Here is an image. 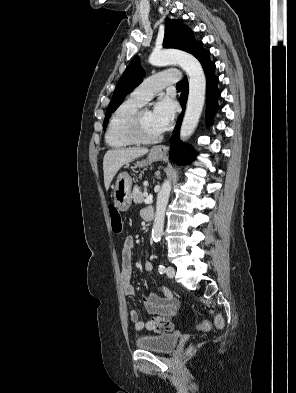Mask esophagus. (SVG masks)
Listing matches in <instances>:
<instances>
[{"instance_id": "esophagus-1", "label": "esophagus", "mask_w": 296, "mask_h": 393, "mask_svg": "<svg viewBox=\"0 0 296 393\" xmlns=\"http://www.w3.org/2000/svg\"><path fill=\"white\" fill-rule=\"evenodd\" d=\"M152 151L157 154L166 155L168 152V147L165 145H158L155 146Z\"/></svg>"}]
</instances>
